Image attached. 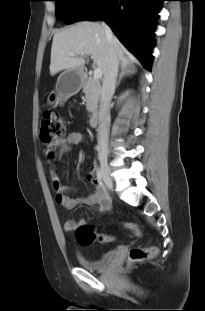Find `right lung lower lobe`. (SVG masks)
<instances>
[{
    "instance_id": "right-lung-lower-lobe-1",
    "label": "right lung lower lobe",
    "mask_w": 205,
    "mask_h": 311,
    "mask_svg": "<svg viewBox=\"0 0 205 311\" xmlns=\"http://www.w3.org/2000/svg\"><path fill=\"white\" fill-rule=\"evenodd\" d=\"M163 0H103L84 20H105L119 40L150 70L155 19Z\"/></svg>"
}]
</instances>
